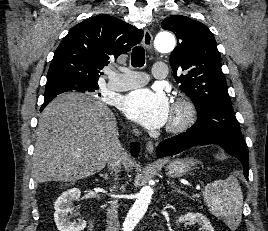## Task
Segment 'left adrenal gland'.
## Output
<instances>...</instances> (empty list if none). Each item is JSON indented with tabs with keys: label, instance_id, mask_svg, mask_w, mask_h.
Instances as JSON below:
<instances>
[{
	"label": "left adrenal gland",
	"instance_id": "obj_1",
	"mask_svg": "<svg viewBox=\"0 0 268 231\" xmlns=\"http://www.w3.org/2000/svg\"><path fill=\"white\" fill-rule=\"evenodd\" d=\"M168 184H171V187L173 188V191L172 192H178V193L180 192L179 188L175 187V185L173 183H170L168 181Z\"/></svg>",
	"mask_w": 268,
	"mask_h": 231
}]
</instances>
